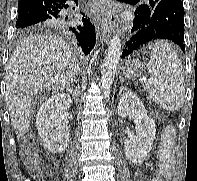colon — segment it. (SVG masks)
<instances>
[{"label":"colon","instance_id":"colon-1","mask_svg":"<svg viewBox=\"0 0 197 181\" xmlns=\"http://www.w3.org/2000/svg\"><path fill=\"white\" fill-rule=\"evenodd\" d=\"M175 142V130L172 126H166L162 132L161 143L158 149V167L156 176L152 181H170L174 168L173 145ZM28 169L39 173V162L34 152L30 153L27 160Z\"/></svg>","mask_w":197,"mask_h":181}]
</instances>
